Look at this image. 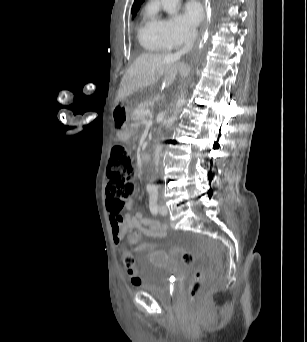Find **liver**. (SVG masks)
Listing matches in <instances>:
<instances>
[{
  "label": "liver",
  "instance_id": "1",
  "mask_svg": "<svg viewBox=\"0 0 307 342\" xmlns=\"http://www.w3.org/2000/svg\"><path fill=\"white\" fill-rule=\"evenodd\" d=\"M185 68H188L186 64L173 60L172 54H167V52L165 54H140L125 72L120 82L116 102L124 100L141 88H148V86L156 84L162 76H164L166 84L167 82L172 84L177 74Z\"/></svg>",
  "mask_w": 307,
  "mask_h": 342
}]
</instances>
